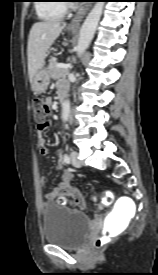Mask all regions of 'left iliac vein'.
Returning <instances> with one entry per match:
<instances>
[{
	"label": "left iliac vein",
	"instance_id": "4c4485c4",
	"mask_svg": "<svg viewBox=\"0 0 158 275\" xmlns=\"http://www.w3.org/2000/svg\"><path fill=\"white\" fill-rule=\"evenodd\" d=\"M70 157H71V163L73 166L78 167V168L82 166L81 161H79V159H78L77 152L72 151L70 154Z\"/></svg>",
	"mask_w": 158,
	"mask_h": 275
}]
</instances>
